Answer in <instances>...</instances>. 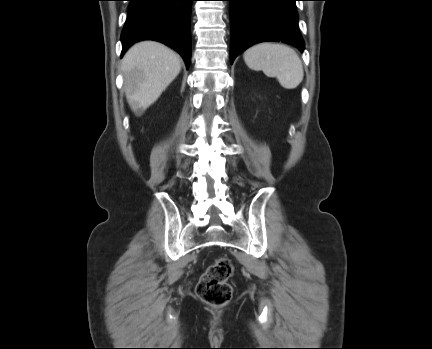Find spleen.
<instances>
[{
	"label": "spleen",
	"mask_w": 432,
	"mask_h": 349,
	"mask_svg": "<svg viewBox=\"0 0 432 349\" xmlns=\"http://www.w3.org/2000/svg\"><path fill=\"white\" fill-rule=\"evenodd\" d=\"M246 65L255 71L262 70L275 77L285 89L296 88L303 80L302 62L291 47L279 43H260L244 52Z\"/></svg>",
	"instance_id": "1"
}]
</instances>
